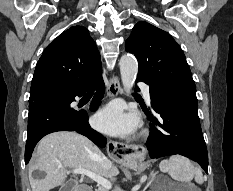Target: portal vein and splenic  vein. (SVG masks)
<instances>
[{"mask_svg":"<svg viewBox=\"0 0 233 191\" xmlns=\"http://www.w3.org/2000/svg\"><path fill=\"white\" fill-rule=\"evenodd\" d=\"M60 168H63V166H60ZM74 174H81V175H85L88 176L90 179H92L93 181L97 182L98 185L106 188L107 190H110L112 188V184L109 180L89 171V170H85V169H74L72 171Z\"/></svg>","mask_w":233,"mask_h":191,"instance_id":"18ae733b","label":"portal vein and splenic vein"}]
</instances>
